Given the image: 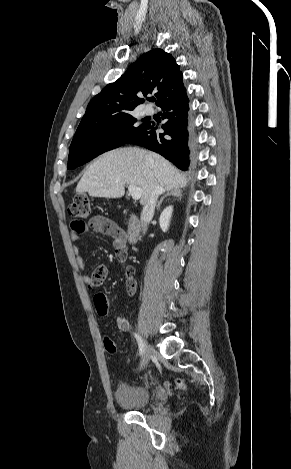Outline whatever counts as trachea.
<instances>
[{
	"label": "trachea",
	"mask_w": 291,
	"mask_h": 469,
	"mask_svg": "<svg viewBox=\"0 0 291 469\" xmlns=\"http://www.w3.org/2000/svg\"><path fill=\"white\" fill-rule=\"evenodd\" d=\"M155 100H156V99H155L154 97H153V98H151V101H153V102H154Z\"/></svg>",
	"instance_id": "3493384b"
}]
</instances>
